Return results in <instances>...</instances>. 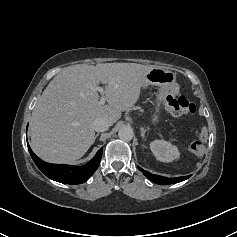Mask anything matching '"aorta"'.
<instances>
[{
	"instance_id": "obj_1",
	"label": "aorta",
	"mask_w": 237,
	"mask_h": 237,
	"mask_svg": "<svg viewBox=\"0 0 237 237\" xmlns=\"http://www.w3.org/2000/svg\"><path fill=\"white\" fill-rule=\"evenodd\" d=\"M118 136L123 141H130L132 140L134 133H133L132 128L123 127L119 129Z\"/></svg>"
}]
</instances>
